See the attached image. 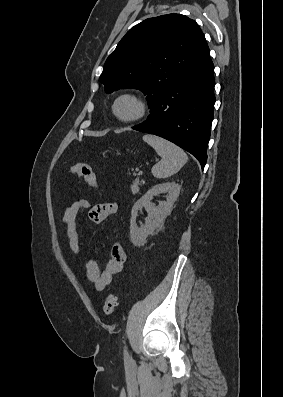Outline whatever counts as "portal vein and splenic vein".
<instances>
[{
  "mask_svg": "<svg viewBox=\"0 0 283 397\" xmlns=\"http://www.w3.org/2000/svg\"><path fill=\"white\" fill-rule=\"evenodd\" d=\"M143 174V171L138 172V176H141Z\"/></svg>",
  "mask_w": 283,
  "mask_h": 397,
  "instance_id": "1",
  "label": "portal vein and splenic vein"
}]
</instances>
